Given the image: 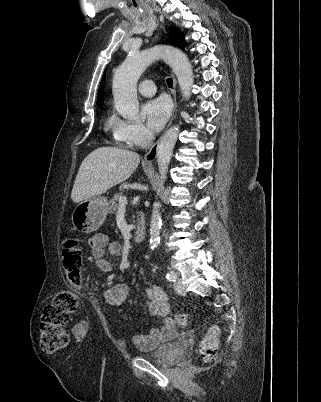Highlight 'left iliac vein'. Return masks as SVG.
<instances>
[{"mask_svg":"<svg viewBox=\"0 0 321 402\" xmlns=\"http://www.w3.org/2000/svg\"><path fill=\"white\" fill-rule=\"evenodd\" d=\"M174 289L175 291L180 294V295H184L186 293V289L185 286L182 283V280L178 277H176V280L174 282Z\"/></svg>","mask_w":321,"mask_h":402,"instance_id":"4c4485c4","label":"left iliac vein"}]
</instances>
